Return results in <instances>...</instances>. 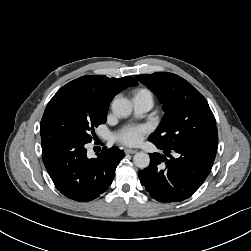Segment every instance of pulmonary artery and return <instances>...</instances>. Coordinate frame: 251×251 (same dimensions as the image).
<instances>
[{
    "instance_id": "e3ab8cb5",
    "label": "pulmonary artery",
    "mask_w": 251,
    "mask_h": 251,
    "mask_svg": "<svg viewBox=\"0 0 251 251\" xmlns=\"http://www.w3.org/2000/svg\"><path fill=\"white\" fill-rule=\"evenodd\" d=\"M132 101L137 116L147 113L153 106V98L148 93H138L133 97Z\"/></svg>"
}]
</instances>
